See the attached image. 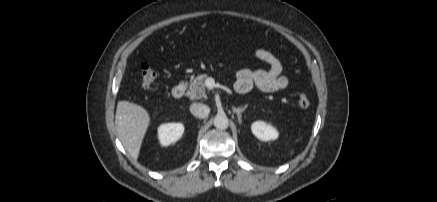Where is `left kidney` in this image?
<instances>
[{"label": "left kidney", "mask_w": 437, "mask_h": 202, "mask_svg": "<svg viewBox=\"0 0 437 202\" xmlns=\"http://www.w3.org/2000/svg\"><path fill=\"white\" fill-rule=\"evenodd\" d=\"M252 133L261 141H270L278 138L277 130L264 121H256L251 125Z\"/></svg>", "instance_id": "1"}]
</instances>
